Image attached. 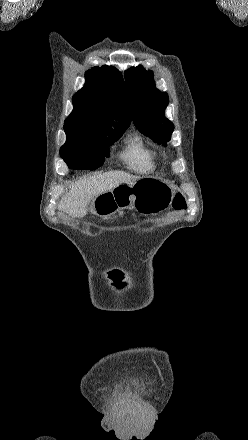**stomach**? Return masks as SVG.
<instances>
[{
	"instance_id": "0dacf381",
	"label": "stomach",
	"mask_w": 248,
	"mask_h": 440,
	"mask_svg": "<svg viewBox=\"0 0 248 440\" xmlns=\"http://www.w3.org/2000/svg\"><path fill=\"white\" fill-rule=\"evenodd\" d=\"M174 193L165 182L144 177L134 184L123 183L96 197L93 218H106L121 209L134 207L141 213H158L172 202Z\"/></svg>"
}]
</instances>
